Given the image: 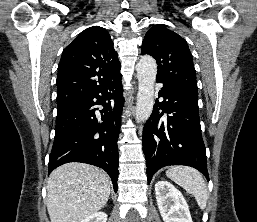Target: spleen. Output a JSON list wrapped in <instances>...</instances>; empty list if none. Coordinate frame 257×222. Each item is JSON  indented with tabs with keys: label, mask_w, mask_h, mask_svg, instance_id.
I'll return each mask as SVG.
<instances>
[{
	"label": "spleen",
	"mask_w": 257,
	"mask_h": 222,
	"mask_svg": "<svg viewBox=\"0 0 257 222\" xmlns=\"http://www.w3.org/2000/svg\"><path fill=\"white\" fill-rule=\"evenodd\" d=\"M167 177L192 194L201 209L207 204V187L202 175L191 167L174 166L166 171Z\"/></svg>",
	"instance_id": "spleen-1"
}]
</instances>
